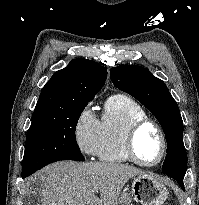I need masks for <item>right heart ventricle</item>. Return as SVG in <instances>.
Instances as JSON below:
<instances>
[{
  "instance_id": "obj_1",
  "label": "right heart ventricle",
  "mask_w": 199,
  "mask_h": 205,
  "mask_svg": "<svg viewBox=\"0 0 199 205\" xmlns=\"http://www.w3.org/2000/svg\"><path fill=\"white\" fill-rule=\"evenodd\" d=\"M146 118L144 109L126 95L110 96L104 105L99 121L96 155L99 160L110 164L129 163L125 149V135L130 125Z\"/></svg>"
}]
</instances>
